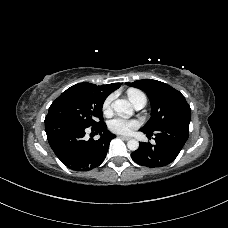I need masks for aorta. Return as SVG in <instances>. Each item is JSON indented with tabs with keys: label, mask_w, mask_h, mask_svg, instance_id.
Listing matches in <instances>:
<instances>
[{
	"label": "aorta",
	"mask_w": 228,
	"mask_h": 228,
	"mask_svg": "<svg viewBox=\"0 0 228 228\" xmlns=\"http://www.w3.org/2000/svg\"><path fill=\"white\" fill-rule=\"evenodd\" d=\"M113 110L122 117H130L133 114V109L129 101L125 99H118L112 103ZM127 147L131 151H135L139 148V142L135 139H131L127 142Z\"/></svg>",
	"instance_id": "1"
}]
</instances>
